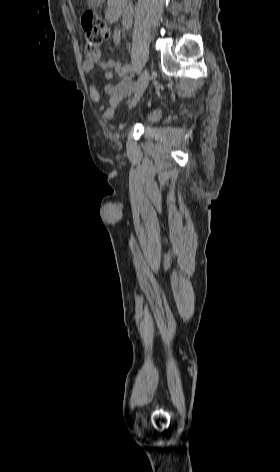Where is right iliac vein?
<instances>
[{"label": "right iliac vein", "mask_w": 280, "mask_h": 472, "mask_svg": "<svg viewBox=\"0 0 280 472\" xmlns=\"http://www.w3.org/2000/svg\"><path fill=\"white\" fill-rule=\"evenodd\" d=\"M149 71L144 70V72L141 74L140 78L138 79V82L135 87V96L131 102V106H135L137 102L140 100L142 97L148 82H149Z\"/></svg>", "instance_id": "right-iliac-vein-1"}]
</instances>
